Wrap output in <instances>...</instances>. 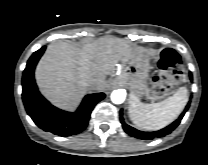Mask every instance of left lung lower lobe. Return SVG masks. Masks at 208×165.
Wrapping results in <instances>:
<instances>
[{"instance_id": "left-lung-lower-lobe-1", "label": "left lung lower lobe", "mask_w": 208, "mask_h": 165, "mask_svg": "<svg viewBox=\"0 0 208 165\" xmlns=\"http://www.w3.org/2000/svg\"><path fill=\"white\" fill-rule=\"evenodd\" d=\"M190 79L192 80L191 74H190ZM189 106H190V104H187L185 110L183 111V113L179 116V118L176 121H174L172 124L165 127L164 129H161V130L155 131V132H143V131H139V130L127 125L124 122V119L122 117V110L120 111V122H121L123 129L125 130L126 133H128L130 136L136 137L138 139H153L155 137H163V136L171 133L179 125L183 116L185 115L186 111L188 110Z\"/></svg>"}]
</instances>
